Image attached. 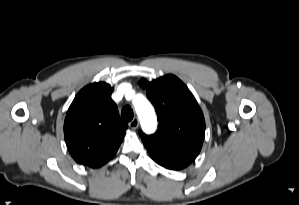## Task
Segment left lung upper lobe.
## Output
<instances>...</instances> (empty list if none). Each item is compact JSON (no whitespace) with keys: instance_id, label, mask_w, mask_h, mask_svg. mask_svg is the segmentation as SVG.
<instances>
[{"instance_id":"1","label":"left lung upper lobe","mask_w":299,"mask_h":205,"mask_svg":"<svg viewBox=\"0 0 299 205\" xmlns=\"http://www.w3.org/2000/svg\"><path fill=\"white\" fill-rule=\"evenodd\" d=\"M139 84L146 89L147 97L154 105L159 121L158 130L153 135H145L139 131L143 143L182 141L203 144V113L181 80L173 75H166L152 82L142 79Z\"/></svg>"}]
</instances>
